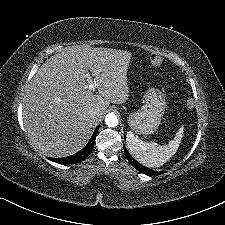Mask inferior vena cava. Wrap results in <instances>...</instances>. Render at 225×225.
<instances>
[{"instance_id": "obj_1", "label": "inferior vena cava", "mask_w": 225, "mask_h": 225, "mask_svg": "<svg viewBox=\"0 0 225 225\" xmlns=\"http://www.w3.org/2000/svg\"><path fill=\"white\" fill-rule=\"evenodd\" d=\"M89 114H90V116H91L92 118H96V116L98 115V112H96V111H91Z\"/></svg>"}]
</instances>
